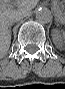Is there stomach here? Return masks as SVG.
Instances as JSON below:
<instances>
[{"label":"stomach","mask_w":65,"mask_h":89,"mask_svg":"<svg viewBox=\"0 0 65 89\" xmlns=\"http://www.w3.org/2000/svg\"><path fill=\"white\" fill-rule=\"evenodd\" d=\"M54 13L58 20L62 23L65 22V4L64 2L53 3Z\"/></svg>","instance_id":"0dacf381"}]
</instances>
